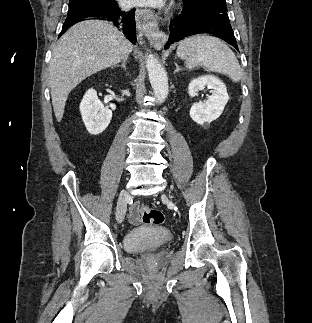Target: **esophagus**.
I'll list each match as a JSON object with an SVG mask.
<instances>
[{
  "mask_svg": "<svg viewBox=\"0 0 312 323\" xmlns=\"http://www.w3.org/2000/svg\"><path fill=\"white\" fill-rule=\"evenodd\" d=\"M148 19L142 22L141 19ZM136 19L138 21L139 35H145L149 43L156 49H160L167 41V36L159 30L157 20L151 10L148 8H137Z\"/></svg>",
  "mask_w": 312,
  "mask_h": 323,
  "instance_id": "esophagus-1",
  "label": "esophagus"
}]
</instances>
